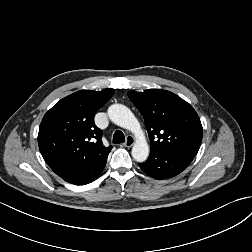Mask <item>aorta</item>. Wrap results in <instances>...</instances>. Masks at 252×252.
I'll return each instance as SVG.
<instances>
[{
  "instance_id": "762f6f07",
  "label": "aorta",
  "mask_w": 252,
  "mask_h": 252,
  "mask_svg": "<svg viewBox=\"0 0 252 252\" xmlns=\"http://www.w3.org/2000/svg\"><path fill=\"white\" fill-rule=\"evenodd\" d=\"M108 116L114 124L134 133L137 141L132 147V156L137 162H144L149 156V146L134 114L122 104H113L108 108Z\"/></svg>"
}]
</instances>
